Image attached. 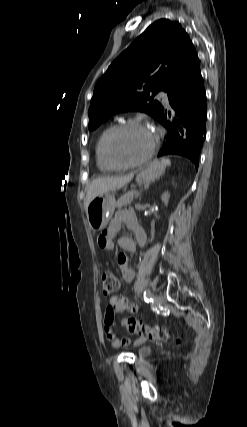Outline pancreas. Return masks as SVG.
I'll use <instances>...</instances> for the list:
<instances>
[{
	"label": "pancreas",
	"mask_w": 247,
	"mask_h": 427,
	"mask_svg": "<svg viewBox=\"0 0 247 427\" xmlns=\"http://www.w3.org/2000/svg\"><path fill=\"white\" fill-rule=\"evenodd\" d=\"M139 196L137 191H130L124 195H122L116 202V207L121 208L122 206L129 205L133 202L135 198Z\"/></svg>",
	"instance_id": "obj_1"
}]
</instances>
